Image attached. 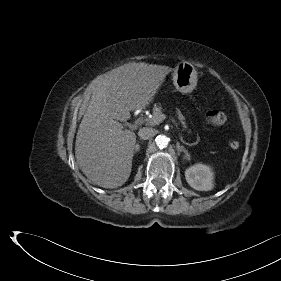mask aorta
Masks as SVG:
<instances>
[{
	"label": "aorta",
	"mask_w": 281,
	"mask_h": 281,
	"mask_svg": "<svg viewBox=\"0 0 281 281\" xmlns=\"http://www.w3.org/2000/svg\"><path fill=\"white\" fill-rule=\"evenodd\" d=\"M155 142L160 149H163L168 145L169 138L165 135H158L155 139Z\"/></svg>",
	"instance_id": "1"
}]
</instances>
